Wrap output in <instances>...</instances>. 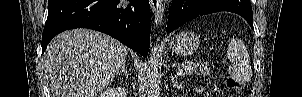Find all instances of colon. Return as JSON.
<instances>
[{"instance_id":"obj_1","label":"colon","mask_w":302,"mask_h":97,"mask_svg":"<svg viewBox=\"0 0 302 97\" xmlns=\"http://www.w3.org/2000/svg\"><path fill=\"white\" fill-rule=\"evenodd\" d=\"M199 73L202 76H209L212 73V65L210 62H203L199 66ZM227 86L231 90H241L243 88V84L233 78H229L227 80Z\"/></svg>"}]
</instances>
